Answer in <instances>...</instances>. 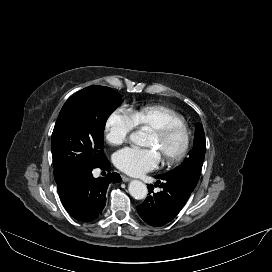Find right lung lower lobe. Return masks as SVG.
Masks as SVG:
<instances>
[{"label":"right lung lower lobe","instance_id":"right-lung-lower-lobe-1","mask_svg":"<svg viewBox=\"0 0 272 272\" xmlns=\"http://www.w3.org/2000/svg\"><path fill=\"white\" fill-rule=\"evenodd\" d=\"M110 170L106 159L100 166ZM83 170L69 179L58 189L59 197L68 213L78 221L90 222L98 218L106 204V191L111 182H120L118 173H108L105 177L94 178L92 170Z\"/></svg>","mask_w":272,"mask_h":272}]
</instances>
